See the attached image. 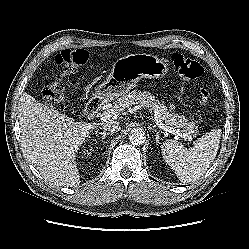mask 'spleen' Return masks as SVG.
<instances>
[{"label": "spleen", "mask_w": 249, "mask_h": 249, "mask_svg": "<svg viewBox=\"0 0 249 249\" xmlns=\"http://www.w3.org/2000/svg\"><path fill=\"white\" fill-rule=\"evenodd\" d=\"M221 138V129L212 130L199 138L189 149L176 140L162 144V155L182 182L195 181L205 174L214 161Z\"/></svg>", "instance_id": "obj_1"}]
</instances>
